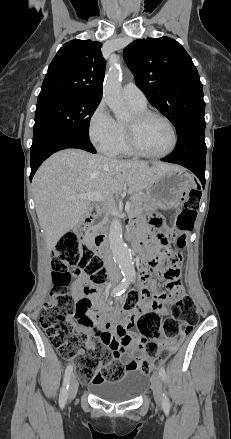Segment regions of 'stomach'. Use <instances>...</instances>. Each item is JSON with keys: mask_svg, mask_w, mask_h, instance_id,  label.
<instances>
[{"mask_svg": "<svg viewBox=\"0 0 231 439\" xmlns=\"http://www.w3.org/2000/svg\"><path fill=\"white\" fill-rule=\"evenodd\" d=\"M194 176L181 168L159 176L145 190V201L154 209L168 210L176 207L183 194L195 187Z\"/></svg>", "mask_w": 231, "mask_h": 439, "instance_id": "1", "label": "stomach"}]
</instances>
